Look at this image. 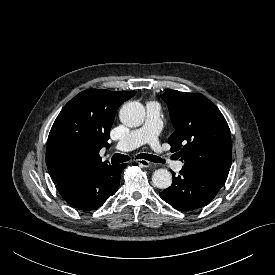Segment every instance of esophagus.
Here are the masks:
<instances>
[{
    "label": "esophagus",
    "mask_w": 275,
    "mask_h": 275,
    "mask_svg": "<svg viewBox=\"0 0 275 275\" xmlns=\"http://www.w3.org/2000/svg\"><path fill=\"white\" fill-rule=\"evenodd\" d=\"M136 162L143 167L151 166V162H149L148 160H145V159H138V160H136Z\"/></svg>",
    "instance_id": "esophagus-1"
}]
</instances>
